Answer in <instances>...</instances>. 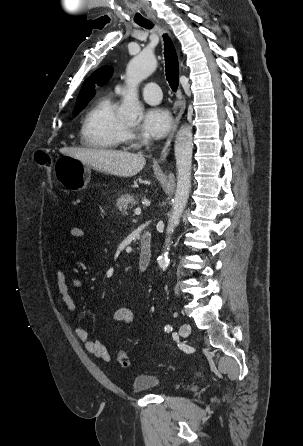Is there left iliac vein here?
Returning a JSON list of instances; mask_svg holds the SVG:
<instances>
[{
	"mask_svg": "<svg viewBox=\"0 0 303 446\" xmlns=\"http://www.w3.org/2000/svg\"><path fill=\"white\" fill-rule=\"evenodd\" d=\"M191 332V326L187 323H184L179 328V334L182 337H187Z\"/></svg>",
	"mask_w": 303,
	"mask_h": 446,
	"instance_id": "1",
	"label": "left iliac vein"
}]
</instances>
